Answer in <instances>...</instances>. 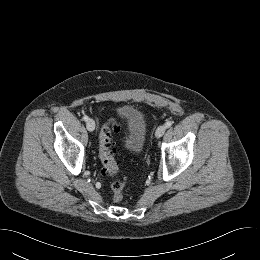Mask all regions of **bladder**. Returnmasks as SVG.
Listing matches in <instances>:
<instances>
[{
	"label": "bladder",
	"mask_w": 260,
	"mask_h": 260,
	"mask_svg": "<svg viewBox=\"0 0 260 260\" xmlns=\"http://www.w3.org/2000/svg\"><path fill=\"white\" fill-rule=\"evenodd\" d=\"M118 112L125 120L129 129L126 138V147L131 152H140L144 147L147 134V123L142 112L132 106L121 107Z\"/></svg>",
	"instance_id": "bladder-1"
}]
</instances>
